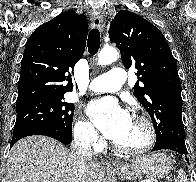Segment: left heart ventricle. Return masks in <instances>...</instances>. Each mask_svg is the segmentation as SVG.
I'll list each match as a JSON object with an SVG mask.
<instances>
[{"label":"left heart ventricle","mask_w":196,"mask_h":182,"mask_svg":"<svg viewBox=\"0 0 196 182\" xmlns=\"http://www.w3.org/2000/svg\"><path fill=\"white\" fill-rule=\"evenodd\" d=\"M146 139L147 133L143 124L137 119L131 118L127 130L116 143L126 148H138L146 142Z\"/></svg>","instance_id":"left-heart-ventricle-1"}]
</instances>
